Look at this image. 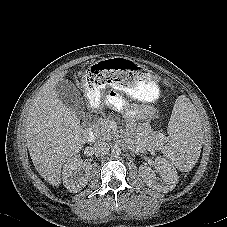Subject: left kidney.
Segmentation results:
<instances>
[{
    "label": "left kidney",
    "mask_w": 227,
    "mask_h": 227,
    "mask_svg": "<svg viewBox=\"0 0 227 227\" xmlns=\"http://www.w3.org/2000/svg\"><path fill=\"white\" fill-rule=\"evenodd\" d=\"M157 171L146 165L139 167V174L148 187L158 191L167 193L173 190L178 182V174L174 166L163 157L155 159ZM158 172L160 177L156 176Z\"/></svg>",
    "instance_id": "obj_1"
}]
</instances>
